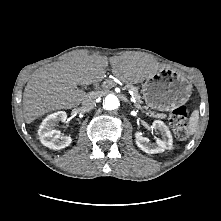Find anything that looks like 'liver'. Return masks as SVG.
I'll list each match as a JSON object with an SVG mask.
<instances>
[{
  "mask_svg": "<svg viewBox=\"0 0 221 221\" xmlns=\"http://www.w3.org/2000/svg\"><path fill=\"white\" fill-rule=\"evenodd\" d=\"M110 62L113 75L120 81L136 84L152 75L158 66L150 58L125 53L108 58L87 51H72L59 61L44 65L30 75L23 93V118L31 123L57 109H71L90 93L77 88L100 82ZM94 94V93H91Z\"/></svg>",
  "mask_w": 221,
  "mask_h": 221,
  "instance_id": "1",
  "label": "liver"
}]
</instances>
